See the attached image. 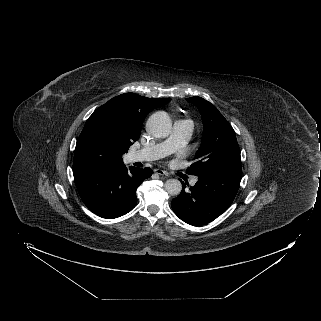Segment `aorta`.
Instances as JSON below:
<instances>
[{
    "label": "aorta",
    "instance_id": "762f6f07",
    "mask_svg": "<svg viewBox=\"0 0 321 321\" xmlns=\"http://www.w3.org/2000/svg\"><path fill=\"white\" fill-rule=\"evenodd\" d=\"M147 127L153 136L164 138L171 133L172 122L166 112L158 111L149 117ZM165 190L172 196L179 195L182 190V184L178 179H169L165 183Z\"/></svg>",
    "mask_w": 321,
    "mask_h": 321
}]
</instances>
